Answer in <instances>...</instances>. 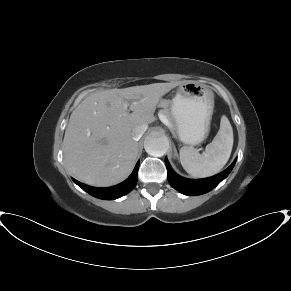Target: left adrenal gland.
<instances>
[{
	"instance_id": "1",
	"label": "left adrenal gland",
	"mask_w": 291,
	"mask_h": 291,
	"mask_svg": "<svg viewBox=\"0 0 291 291\" xmlns=\"http://www.w3.org/2000/svg\"><path fill=\"white\" fill-rule=\"evenodd\" d=\"M174 151H175V157H178V153H177V150H176V148H174Z\"/></svg>"
}]
</instances>
